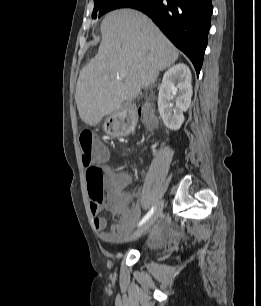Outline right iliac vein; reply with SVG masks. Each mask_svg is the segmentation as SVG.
I'll return each instance as SVG.
<instances>
[{
    "instance_id": "1",
    "label": "right iliac vein",
    "mask_w": 261,
    "mask_h": 306,
    "mask_svg": "<svg viewBox=\"0 0 261 306\" xmlns=\"http://www.w3.org/2000/svg\"><path fill=\"white\" fill-rule=\"evenodd\" d=\"M163 206H164V201L163 199H161L159 200L157 208L155 212L151 215V217L131 235L130 237L131 240L141 237L155 223V221L160 217L162 213Z\"/></svg>"
}]
</instances>
